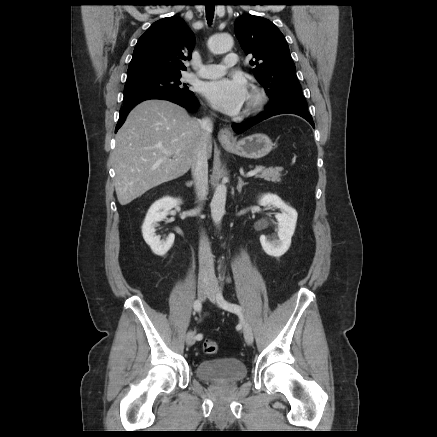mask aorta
Returning <instances> with one entry per match:
<instances>
[{
	"label": "aorta",
	"instance_id": "obj_1",
	"mask_svg": "<svg viewBox=\"0 0 437 437\" xmlns=\"http://www.w3.org/2000/svg\"><path fill=\"white\" fill-rule=\"evenodd\" d=\"M233 38L230 34H219L212 36L208 41V48L214 54H222L231 50ZM227 188L224 184L217 185L210 207L211 217L216 225L221 223L225 214Z\"/></svg>",
	"mask_w": 437,
	"mask_h": 437
}]
</instances>
